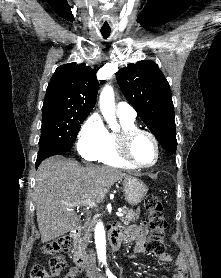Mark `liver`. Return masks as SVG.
<instances>
[{"mask_svg": "<svg viewBox=\"0 0 221 278\" xmlns=\"http://www.w3.org/2000/svg\"><path fill=\"white\" fill-rule=\"evenodd\" d=\"M129 175L108 167L81 166L74 159L55 156L44 160L37 171L34 199L41 241L46 243L69 231L78 216L71 204L104 200L110 187Z\"/></svg>", "mask_w": 221, "mask_h": 278, "instance_id": "obj_1", "label": "liver"}]
</instances>
